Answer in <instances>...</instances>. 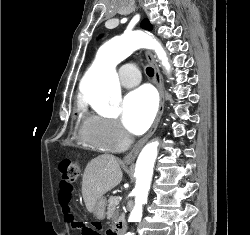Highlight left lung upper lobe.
<instances>
[{
    "mask_svg": "<svg viewBox=\"0 0 250 235\" xmlns=\"http://www.w3.org/2000/svg\"><path fill=\"white\" fill-rule=\"evenodd\" d=\"M141 26L144 28V29H148V30H151L152 29V25L149 23V21L147 19H144L141 23Z\"/></svg>",
    "mask_w": 250,
    "mask_h": 235,
    "instance_id": "left-lung-upper-lobe-1",
    "label": "left lung upper lobe"
}]
</instances>
